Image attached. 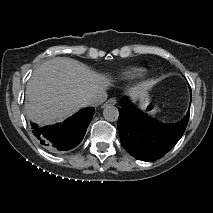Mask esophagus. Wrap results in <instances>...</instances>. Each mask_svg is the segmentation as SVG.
<instances>
[{"label": "esophagus", "instance_id": "1", "mask_svg": "<svg viewBox=\"0 0 213 213\" xmlns=\"http://www.w3.org/2000/svg\"><path fill=\"white\" fill-rule=\"evenodd\" d=\"M117 103V101H116V99L115 98H111V99H109L107 102H106V104L105 105H115ZM104 105V106H105Z\"/></svg>", "mask_w": 213, "mask_h": 213}]
</instances>
